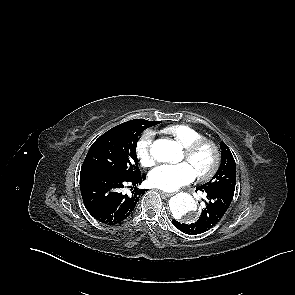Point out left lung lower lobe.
Masks as SVG:
<instances>
[{"mask_svg":"<svg viewBox=\"0 0 295 295\" xmlns=\"http://www.w3.org/2000/svg\"><path fill=\"white\" fill-rule=\"evenodd\" d=\"M197 190L204 192L207 198L200 217L190 224H181L172 220L177 229L190 235L204 233L216 226L228 210L234 196V190L227 188L207 189L200 186Z\"/></svg>","mask_w":295,"mask_h":295,"instance_id":"0a47b994","label":"left lung lower lobe"}]
</instances>
